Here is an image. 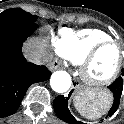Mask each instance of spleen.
Segmentation results:
<instances>
[{
  "label": "spleen",
  "mask_w": 124,
  "mask_h": 124,
  "mask_svg": "<svg viewBox=\"0 0 124 124\" xmlns=\"http://www.w3.org/2000/svg\"><path fill=\"white\" fill-rule=\"evenodd\" d=\"M111 100L105 96H100L94 100L90 95L81 96L76 95L74 97V105L80 114L89 119H95L100 117L106 112L110 105Z\"/></svg>",
  "instance_id": "obj_1"
}]
</instances>
